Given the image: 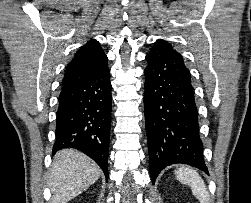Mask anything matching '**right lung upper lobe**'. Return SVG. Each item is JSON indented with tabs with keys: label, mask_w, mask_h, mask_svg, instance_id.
I'll use <instances>...</instances> for the list:
<instances>
[{
	"label": "right lung upper lobe",
	"mask_w": 251,
	"mask_h": 203,
	"mask_svg": "<svg viewBox=\"0 0 251 203\" xmlns=\"http://www.w3.org/2000/svg\"><path fill=\"white\" fill-rule=\"evenodd\" d=\"M107 57L99 42L92 39L82 46L68 64L62 83V90L67 89L92 75L107 64Z\"/></svg>",
	"instance_id": "1"
}]
</instances>
